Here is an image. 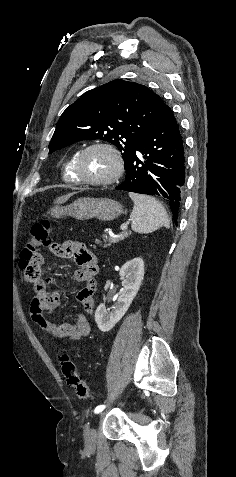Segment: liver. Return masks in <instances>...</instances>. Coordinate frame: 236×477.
Segmentation results:
<instances>
[{"label":"liver","instance_id":"liver-1","mask_svg":"<svg viewBox=\"0 0 236 477\" xmlns=\"http://www.w3.org/2000/svg\"><path fill=\"white\" fill-rule=\"evenodd\" d=\"M72 194H68V195H65V196H62V197H58L56 200H55V203H61L63 202L64 200H67Z\"/></svg>","mask_w":236,"mask_h":477}]
</instances>
